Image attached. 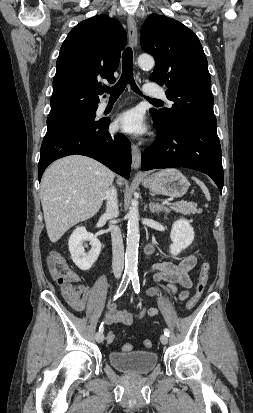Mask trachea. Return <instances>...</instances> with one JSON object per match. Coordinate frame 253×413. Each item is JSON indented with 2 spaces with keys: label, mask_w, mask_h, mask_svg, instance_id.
<instances>
[{
  "label": "trachea",
  "mask_w": 253,
  "mask_h": 413,
  "mask_svg": "<svg viewBox=\"0 0 253 413\" xmlns=\"http://www.w3.org/2000/svg\"><path fill=\"white\" fill-rule=\"evenodd\" d=\"M127 84L131 86L134 92L142 95L133 78V52L130 47L126 48L122 55V75L119 81L113 87H105L103 91L109 93L110 98H118ZM147 99L152 102L162 103V101L157 99Z\"/></svg>",
  "instance_id": "obj_1"
}]
</instances>
